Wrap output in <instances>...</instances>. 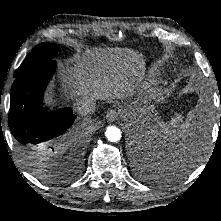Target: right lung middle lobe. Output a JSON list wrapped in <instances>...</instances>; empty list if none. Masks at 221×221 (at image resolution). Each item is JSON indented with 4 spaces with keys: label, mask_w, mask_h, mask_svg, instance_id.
<instances>
[{
    "label": "right lung middle lobe",
    "mask_w": 221,
    "mask_h": 221,
    "mask_svg": "<svg viewBox=\"0 0 221 221\" xmlns=\"http://www.w3.org/2000/svg\"><path fill=\"white\" fill-rule=\"evenodd\" d=\"M57 52L58 48L51 43H41L35 46L17 69L14 77L17 78L31 68L46 61L52 60Z\"/></svg>",
    "instance_id": "obj_1"
}]
</instances>
